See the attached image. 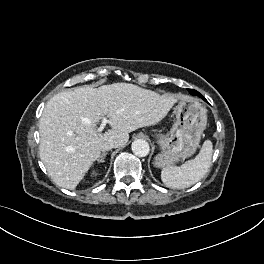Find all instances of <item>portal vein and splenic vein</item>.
I'll list each match as a JSON object with an SVG mask.
<instances>
[{
	"label": "portal vein and splenic vein",
	"instance_id": "18ae733b",
	"mask_svg": "<svg viewBox=\"0 0 264 264\" xmlns=\"http://www.w3.org/2000/svg\"><path fill=\"white\" fill-rule=\"evenodd\" d=\"M106 123H109V120L105 116H103L102 117V123H101L100 127L97 130L99 132H101L104 129Z\"/></svg>",
	"mask_w": 264,
	"mask_h": 264
}]
</instances>
